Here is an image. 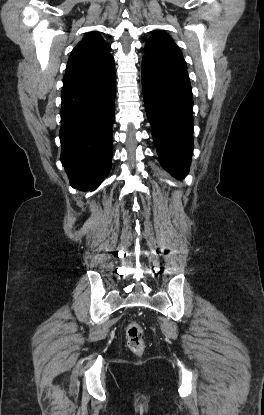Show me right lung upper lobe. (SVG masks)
<instances>
[{
	"instance_id": "cb5924a9",
	"label": "right lung upper lobe",
	"mask_w": 264,
	"mask_h": 415,
	"mask_svg": "<svg viewBox=\"0 0 264 415\" xmlns=\"http://www.w3.org/2000/svg\"><path fill=\"white\" fill-rule=\"evenodd\" d=\"M114 59L110 44L93 32L84 37L72 50L63 84L72 85L105 77L114 72Z\"/></svg>"
}]
</instances>
